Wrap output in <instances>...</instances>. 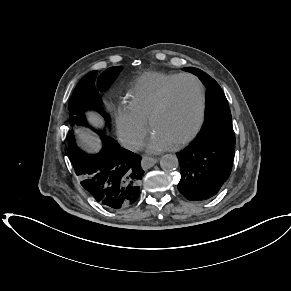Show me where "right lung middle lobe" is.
<instances>
[{
  "label": "right lung middle lobe",
  "instance_id": "obj_1",
  "mask_svg": "<svg viewBox=\"0 0 291 291\" xmlns=\"http://www.w3.org/2000/svg\"><path fill=\"white\" fill-rule=\"evenodd\" d=\"M119 72L120 67L118 66L108 68L99 77H97L96 71H92L79 81L68 105L69 123L72 127L77 125L90 127L85 118V112L88 110L97 111L107 123L109 122V116L103 112L100 106L101 97L99 91L106 90ZM94 131L100 136L104 134V131ZM68 144L70 148L76 145L73 130L68 132Z\"/></svg>",
  "mask_w": 291,
  "mask_h": 291
}]
</instances>
